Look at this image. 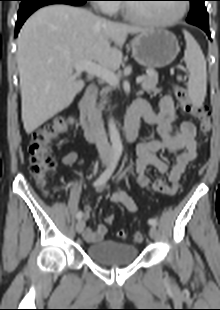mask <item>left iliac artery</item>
<instances>
[{"label": "left iliac artery", "mask_w": 220, "mask_h": 310, "mask_svg": "<svg viewBox=\"0 0 220 310\" xmlns=\"http://www.w3.org/2000/svg\"><path fill=\"white\" fill-rule=\"evenodd\" d=\"M148 223H149L150 225L156 226V225H157V220L154 219V218H151V219L148 220Z\"/></svg>", "instance_id": "44dca946"}]
</instances>
